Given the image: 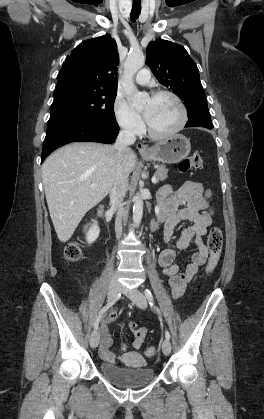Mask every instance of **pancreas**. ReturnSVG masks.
I'll return each instance as SVG.
<instances>
[{
	"mask_svg": "<svg viewBox=\"0 0 264 419\" xmlns=\"http://www.w3.org/2000/svg\"><path fill=\"white\" fill-rule=\"evenodd\" d=\"M168 169L164 165H161L157 168V171L155 173V176L157 177V180H165L167 178Z\"/></svg>",
	"mask_w": 264,
	"mask_h": 419,
	"instance_id": "pancreas-1",
	"label": "pancreas"
}]
</instances>
